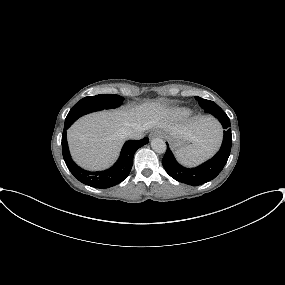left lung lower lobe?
I'll use <instances>...</instances> for the list:
<instances>
[{
    "mask_svg": "<svg viewBox=\"0 0 285 285\" xmlns=\"http://www.w3.org/2000/svg\"><path fill=\"white\" fill-rule=\"evenodd\" d=\"M211 114L220 121L223 129H225L222 146L212 159L196 168H185L175 160L169 147L162 159V164L166 172L181 183L192 186L202 185L214 179L221 172L228 160L232 143L231 129L229 128L230 120L223 110H217Z\"/></svg>",
    "mask_w": 285,
    "mask_h": 285,
    "instance_id": "0a47b994",
    "label": "left lung lower lobe"
}]
</instances>
